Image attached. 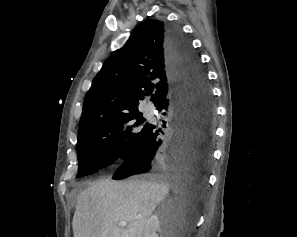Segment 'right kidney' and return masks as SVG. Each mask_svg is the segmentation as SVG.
Here are the masks:
<instances>
[{
    "instance_id": "ca27d5eb",
    "label": "right kidney",
    "mask_w": 297,
    "mask_h": 237,
    "mask_svg": "<svg viewBox=\"0 0 297 237\" xmlns=\"http://www.w3.org/2000/svg\"><path fill=\"white\" fill-rule=\"evenodd\" d=\"M161 233L163 235H161ZM171 237L163 230L158 214L152 215L146 222L144 237Z\"/></svg>"
}]
</instances>
